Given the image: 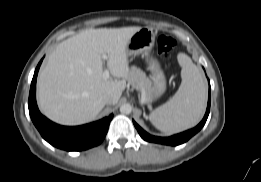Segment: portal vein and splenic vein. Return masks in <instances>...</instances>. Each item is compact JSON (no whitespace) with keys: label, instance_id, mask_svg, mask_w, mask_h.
I'll return each mask as SVG.
<instances>
[{"label":"portal vein and splenic vein","instance_id":"portal-vein-and-splenic-vein-1","mask_svg":"<svg viewBox=\"0 0 261 182\" xmlns=\"http://www.w3.org/2000/svg\"><path fill=\"white\" fill-rule=\"evenodd\" d=\"M102 58H103L104 60H107L108 57H107L106 54H102ZM109 76H110L109 70H108V69H105L104 72H103V78H104L105 80H107V79L109 78Z\"/></svg>","mask_w":261,"mask_h":182}]
</instances>
